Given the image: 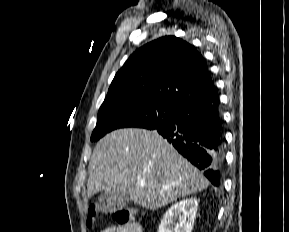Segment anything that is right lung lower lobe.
Returning <instances> with one entry per match:
<instances>
[{
	"label": "right lung lower lobe",
	"mask_w": 289,
	"mask_h": 232,
	"mask_svg": "<svg viewBox=\"0 0 289 232\" xmlns=\"http://www.w3.org/2000/svg\"><path fill=\"white\" fill-rule=\"evenodd\" d=\"M155 130L181 155L203 170L214 186L220 184L224 138L219 97L179 107L172 121Z\"/></svg>",
	"instance_id": "1"
}]
</instances>
